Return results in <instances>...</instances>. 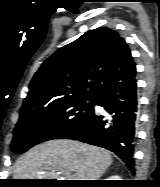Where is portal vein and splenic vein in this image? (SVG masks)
Here are the masks:
<instances>
[{
  "label": "portal vein and splenic vein",
  "instance_id": "portal-vein-and-splenic-vein-1",
  "mask_svg": "<svg viewBox=\"0 0 160 187\" xmlns=\"http://www.w3.org/2000/svg\"><path fill=\"white\" fill-rule=\"evenodd\" d=\"M65 176L68 178V180H76L75 174H72L71 172L65 173Z\"/></svg>",
  "mask_w": 160,
  "mask_h": 187
}]
</instances>
